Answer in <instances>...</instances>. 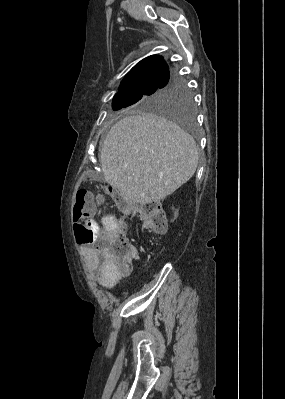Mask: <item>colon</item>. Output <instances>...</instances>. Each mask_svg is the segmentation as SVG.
<instances>
[{
  "instance_id": "colon-1",
  "label": "colon",
  "mask_w": 285,
  "mask_h": 399,
  "mask_svg": "<svg viewBox=\"0 0 285 399\" xmlns=\"http://www.w3.org/2000/svg\"><path fill=\"white\" fill-rule=\"evenodd\" d=\"M105 199L118 200L119 204L129 213L136 214L141 221L151 230L163 233L166 230V218L161 205L157 202L146 203L139 207L126 200L120 199L118 194L107 187L103 192L93 193L86 188L78 189L76 201L73 206L74 232L78 242L97 241L104 245L105 256L113 264L120 274H127L130 271L134 253L132 245L127 241L125 231L126 224L119 221L114 225V229L104 232V237H100L94 231H87V237L81 232L85 229L83 220L88 224L93 221L97 210Z\"/></svg>"
}]
</instances>
